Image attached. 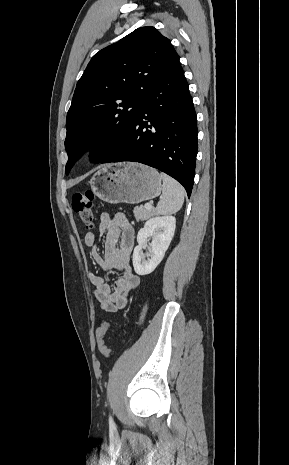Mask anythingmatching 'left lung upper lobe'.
Wrapping results in <instances>:
<instances>
[{
    "label": "left lung upper lobe",
    "instance_id": "left-lung-upper-lobe-1",
    "mask_svg": "<svg viewBox=\"0 0 289 465\" xmlns=\"http://www.w3.org/2000/svg\"><path fill=\"white\" fill-rule=\"evenodd\" d=\"M170 40L141 27L96 53L79 79L67 114L66 173L84 147L96 144L99 163L121 142L143 97L180 67Z\"/></svg>",
    "mask_w": 289,
    "mask_h": 465
}]
</instances>
